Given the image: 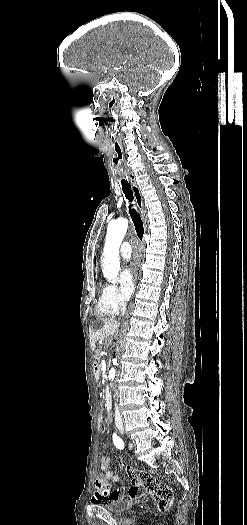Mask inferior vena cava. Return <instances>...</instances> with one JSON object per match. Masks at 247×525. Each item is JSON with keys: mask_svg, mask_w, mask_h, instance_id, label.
<instances>
[{"mask_svg": "<svg viewBox=\"0 0 247 525\" xmlns=\"http://www.w3.org/2000/svg\"><path fill=\"white\" fill-rule=\"evenodd\" d=\"M121 307H122V309H121L120 319H121V317H124L125 311H126V307H125L124 303H123V305H121Z\"/></svg>", "mask_w": 247, "mask_h": 525, "instance_id": "inferior-vena-cava-1", "label": "inferior vena cava"}]
</instances>
